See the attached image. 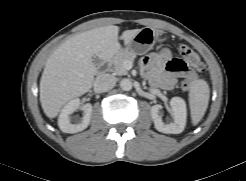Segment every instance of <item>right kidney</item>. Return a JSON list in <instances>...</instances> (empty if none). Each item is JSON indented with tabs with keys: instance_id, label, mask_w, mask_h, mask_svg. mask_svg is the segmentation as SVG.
I'll return each mask as SVG.
<instances>
[{
	"instance_id": "obj_1",
	"label": "right kidney",
	"mask_w": 246,
	"mask_h": 181,
	"mask_svg": "<svg viewBox=\"0 0 246 181\" xmlns=\"http://www.w3.org/2000/svg\"><path fill=\"white\" fill-rule=\"evenodd\" d=\"M78 109L83 110V118L72 124L70 122V115ZM91 115L92 105L90 103H87L84 106L80 107V100L78 98L73 99L69 101L61 110V113L58 118L59 128L63 132L71 134L83 131L88 127Z\"/></svg>"
}]
</instances>
